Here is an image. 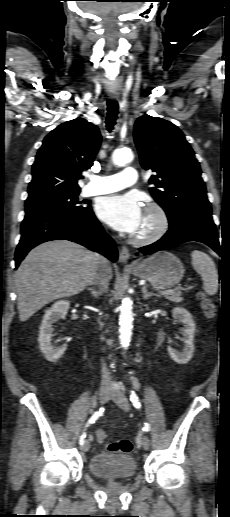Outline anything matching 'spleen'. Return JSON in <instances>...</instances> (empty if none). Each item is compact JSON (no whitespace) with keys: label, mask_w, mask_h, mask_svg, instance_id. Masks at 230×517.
<instances>
[{"label":"spleen","mask_w":230,"mask_h":517,"mask_svg":"<svg viewBox=\"0 0 230 517\" xmlns=\"http://www.w3.org/2000/svg\"><path fill=\"white\" fill-rule=\"evenodd\" d=\"M192 266L201 275L203 289L208 295L218 291V273L214 261L206 253L194 250L191 253Z\"/></svg>","instance_id":"1"}]
</instances>
